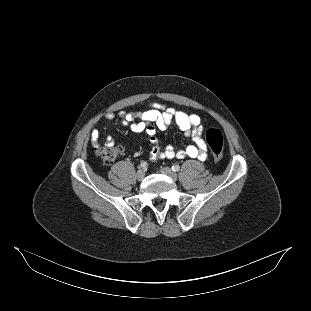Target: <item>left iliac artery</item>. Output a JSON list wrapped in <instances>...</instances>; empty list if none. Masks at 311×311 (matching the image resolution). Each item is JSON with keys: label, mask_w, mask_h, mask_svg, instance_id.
Masks as SVG:
<instances>
[{"label": "left iliac artery", "mask_w": 311, "mask_h": 311, "mask_svg": "<svg viewBox=\"0 0 311 311\" xmlns=\"http://www.w3.org/2000/svg\"><path fill=\"white\" fill-rule=\"evenodd\" d=\"M172 170L173 171H179L180 170V166L175 164V165L172 166Z\"/></svg>", "instance_id": "1"}]
</instances>
